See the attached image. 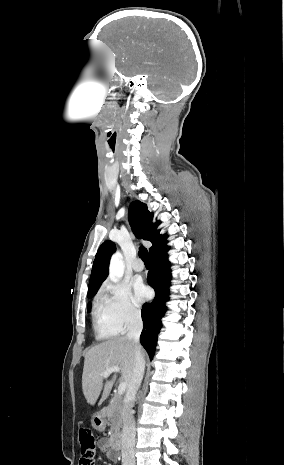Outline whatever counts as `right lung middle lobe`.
<instances>
[{
  "instance_id": "1",
  "label": "right lung middle lobe",
  "mask_w": 284,
  "mask_h": 465,
  "mask_svg": "<svg viewBox=\"0 0 284 465\" xmlns=\"http://www.w3.org/2000/svg\"><path fill=\"white\" fill-rule=\"evenodd\" d=\"M94 295H95V294H93V295H89V296H87V297H88V298H92ZM87 308H88V311H90L91 305H90V304H88Z\"/></svg>"
}]
</instances>
